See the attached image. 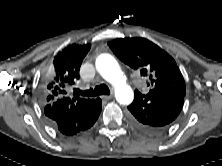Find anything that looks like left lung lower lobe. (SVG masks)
Segmentation results:
<instances>
[{"mask_svg": "<svg viewBox=\"0 0 222 166\" xmlns=\"http://www.w3.org/2000/svg\"><path fill=\"white\" fill-rule=\"evenodd\" d=\"M184 96L177 93L161 92L154 96L135 93L128 106L130 121L138 129L157 133L166 129L179 115Z\"/></svg>", "mask_w": 222, "mask_h": 166, "instance_id": "1", "label": "left lung lower lobe"}]
</instances>
